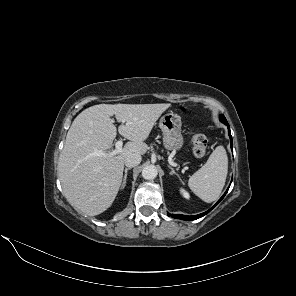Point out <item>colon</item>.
Returning <instances> with one entry per match:
<instances>
[{"mask_svg": "<svg viewBox=\"0 0 296 296\" xmlns=\"http://www.w3.org/2000/svg\"><path fill=\"white\" fill-rule=\"evenodd\" d=\"M193 152L195 156L202 157L206 153L207 149V138L202 134H196L192 137Z\"/></svg>", "mask_w": 296, "mask_h": 296, "instance_id": "obj_1", "label": "colon"}]
</instances>
